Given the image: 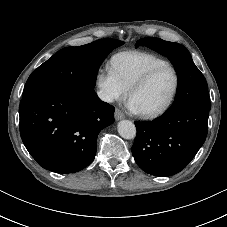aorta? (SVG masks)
I'll return each mask as SVG.
<instances>
[{
	"mask_svg": "<svg viewBox=\"0 0 227 227\" xmlns=\"http://www.w3.org/2000/svg\"><path fill=\"white\" fill-rule=\"evenodd\" d=\"M119 135L124 139H133L136 136V127L129 120H121L117 125Z\"/></svg>",
	"mask_w": 227,
	"mask_h": 227,
	"instance_id": "obj_1",
	"label": "aorta"
}]
</instances>
